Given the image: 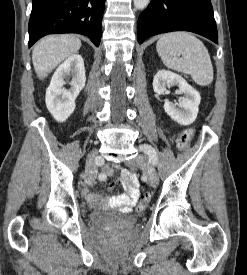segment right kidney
<instances>
[{
  "label": "right kidney",
  "instance_id": "ca27d5eb",
  "mask_svg": "<svg viewBox=\"0 0 247 275\" xmlns=\"http://www.w3.org/2000/svg\"><path fill=\"white\" fill-rule=\"evenodd\" d=\"M72 76L71 88L65 89V79ZM86 82L84 61L81 55L70 56L56 69L46 90V106L54 119L64 122L75 110V99Z\"/></svg>",
  "mask_w": 247,
  "mask_h": 275
}]
</instances>
